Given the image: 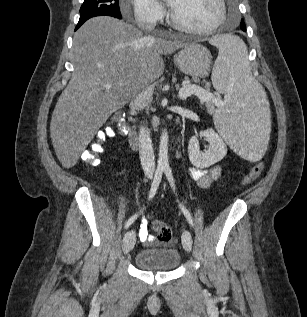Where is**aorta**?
Returning a JSON list of instances; mask_svg holds the SVG:
<instances>
[{
  "label": "aorta",
  "mask_w": 307,
  "mask_h": 317,
  "mask_svg": "<svg viewBox=\"0 0 307 317\" xmlns=\"http://www.w3.org/2000/svg\"><path fill=\"white\" fill-rule=\"evenodd\" d=\"M168 144H169L168 132H167V129H164L160 136V143H159L158 165L160 167L169 166Z\"/></svg>",
  "instance_id": "1"
}]
</instances>
